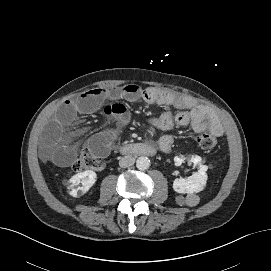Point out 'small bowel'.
Listing matches in <instances>:
<instances>
[{
  "label": "small bowel",
  "mask_w": 271,
  "mask_h": 271,
  "mask_svg": "<svg viewBox=\"0 0 271 271\" xmlns=\"http://www.w3.org/2000/svg\"><path fill=\"white\" fill-rule=\"evenodd\" d=\"M140 99L167 107L159 117L150 120L151 125L159 130L169 131L178 125L190 126L196 133L208 130L215 136H220L223 132L215 113L209 107L198 104L190 96L163 91L156 87L142 88L136 84L112 90L95 88L59 106L53 119L45 127L42 156L58 166H68L76 155L77 143L75 135L67 133L66 128L80 115L96 111H101L105 116L117 121L116 127L95 134L89 141V147L95 153L106 156L129 119V112L121 100ZM176 109L181 111L174 113ZM173 142L174 136L165 134L159 140V147L168 153L172 150Z\"/></svg>",
  "instance_id": "obj_1"
}]
</instances>
